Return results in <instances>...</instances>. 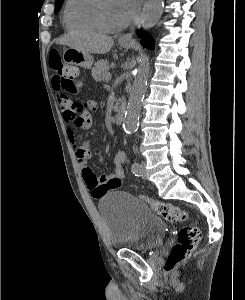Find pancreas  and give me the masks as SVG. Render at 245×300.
Returning <instances> with one entry per match:
<instances>
[{"instance_id":"pancreas-1","label":"pancreas","mask_w":245,"mask_h":300,"mask_svg":"<svg viewBox=\"0 0 245 300\" xmlns=\"http://www.w3.org/2000/svg\"><path fill=\"white\" fill-rule=\"evenodd\" d=\"M109 63L106 60H100L95 63V67L92 68V77L96 81H108L107 75L109 74Z\"/></svg>"}]
</instances>
